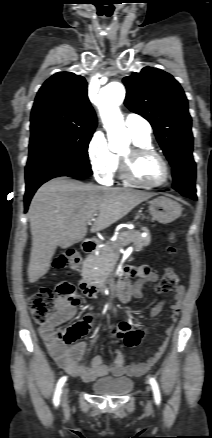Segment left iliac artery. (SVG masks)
<instances>
[{
  "label": "left iliac artery",
  "instance_id": "obj_1",
  "mask_svg": "<svg viewBox=\"0 0 212 438\" xmlns=\"http://www.w3.org/2000/svg\"><path fill=\"white\" fill-rule=\"evenodd\" d=\"M150 384L153 390L155 402L156 404H159L161 401V395H160L158 384L154 378H150Z\"/></svg>",
  "mask_w": 212,
  "mask_h": 438
}]
</instances>
